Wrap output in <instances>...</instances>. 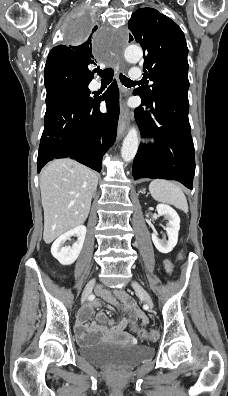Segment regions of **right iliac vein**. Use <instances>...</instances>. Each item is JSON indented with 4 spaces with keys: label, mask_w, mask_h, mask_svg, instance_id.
Instances as JSON below:
<instances>
[{
    "label": "right iliac vein",
    "mask_w": 228,
    "mask_h": 396,
    "mask_svg": "<svg viewBox=\"0 0 228 396\" xmlns=\"http://www.w3.org/2000/svg\"><path fill=\"white\" fill-rule=\"evenodd\" d=\"M95 283H96V279H95V278L91 279V280L87 283V285H86V287L84 288V291H83V293H82V296H81V304H83V303L86 301L87 297H88V296L90 295V293L92 292V289H93Z\"/></svg>",
    "instance_id": "right-iliac-vein-1"
}]
</instances>
